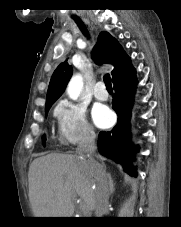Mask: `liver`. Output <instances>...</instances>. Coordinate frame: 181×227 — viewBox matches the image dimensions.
Masks as SVG:
<instances>
[{
  "instance_id": "6515ba94",
  "label": "liver",
  "mask_w": 181,
  "mask_h": 227,
  "mask_svg": "<svg viewBox=\"0 0 181 227\" xmlns=\"http://www.w3.org/2000/svg\"><path fill=\"white\" fill-rule=\"evenodd\" d=\"M28 180L35 217H71L77 196L88 210L95 209V168L79 155L51 153L38 157L30 165Z\"/></svg>"
}]
</instances>
